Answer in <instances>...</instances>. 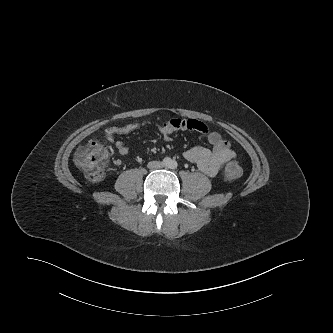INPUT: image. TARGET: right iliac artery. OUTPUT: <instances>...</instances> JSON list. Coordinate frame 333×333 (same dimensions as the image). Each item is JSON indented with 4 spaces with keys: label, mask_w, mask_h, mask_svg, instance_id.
<instances>
[{
    "label": "right iliac artery",
    "mask_w": 333,
    "mask_h": 333,
    "mask_svg": "<svg viewBox=\"0 0 333 333\" xmlns=\"http://www.w3.org/2000/svg\"><path fill=\"white\" fill-rule=\"evenodd\" d=\"M170 163H171V159H170V158L166 157V158L163 159V164H164L165 166L170 165Z\"/></svg>",
    "instance_id": "obj_1"
}]
</instances>
